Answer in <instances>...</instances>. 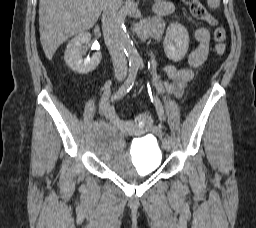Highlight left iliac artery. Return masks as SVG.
Instances as JSON below:
<instances>
[{
    "label": "left iliac artery",
    "mask_w": 256,
    "mask_h": 228,
    "mask_svg": "<svg viewBox=\"0 0 256 228\" xmlns=\"http://www.w3.org/2000/svg\"><path fill=\"white\" fill-rule=\"evenodd\" d=\"M138 67L142 69L144 67L143 63H140L138 65ZM152 98H153L152 102L155 104V107H156L157 112H158V116L162 120L164 118V111H163V107H162V105L160 103V100L157 97H155V96H152ZM166 137L171 139L168 134H166Z\"/></svg>",
    "instance_id": "left-iliac-artery-1"
}]
</instances>
